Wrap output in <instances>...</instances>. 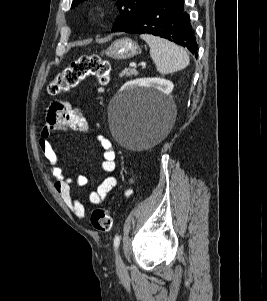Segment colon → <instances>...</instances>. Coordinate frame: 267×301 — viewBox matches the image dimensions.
<instances>
[{
  "mask_svg": "<svg viewBox=\"0 0 267 301\" xmlns=\"http://www.w3.org/2000/svg\"><path fill=\"white\" fill-rule=\"evenodd\" d=\"M88 77H95L100 84V90H103V87L110 81V63L98 55H83L74 60L50 82L47 92L50 95H58L76 87ZM90 219L97 231L108 232L112 227L111 214L105 208L94 209Z\"/></svg>",
  "mask_w": 267,
  "mask_h": 301,
  "instance_id": "colon-1",
  "label": "colon"
}]
</instances>
